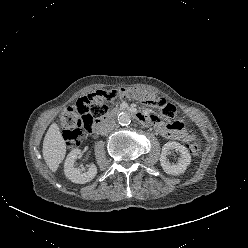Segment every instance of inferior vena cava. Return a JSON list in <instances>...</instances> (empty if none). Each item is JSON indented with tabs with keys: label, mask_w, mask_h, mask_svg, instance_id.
<instances>
[{
	"label": "inferior vena cava",
	"mask_w": 248,
	"mask_h": 248,
	"mask_svg": "<svg viewBox=\"0 0 248 248\" xmlns=\"http://www.w3.org/2000/svg\"><path fill=\"white\" fill-rule=\"evenodd\" d=\"M116 123L114 120H107V121H104L101 126H100V133L102 135H106L108 134L109 132H111L114 127H115Z\"/></svg>",
	"instance_id": "inferior-vena-cava-1"
}]
</instances>
